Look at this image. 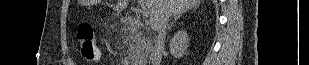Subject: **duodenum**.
Here are the masks:
<instances>
[{"label": "duodenum", "instance_id": "1", "mask_svg": "<svg viewBox=\"0 0 309 65\" xmlns=\"http://www.w3.org/2000/svg\"><path fill=\"white\" fill-rule=\"evenodd\" d=\"M123 23L131 32H137L140 28V23L138 22V20L132 17H124Z\"/></svg>", "mask_w": 309, "mask_h": 65}]
</instances>
